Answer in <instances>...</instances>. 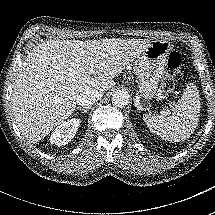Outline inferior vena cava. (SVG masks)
<instances>
[{"mask_svg":"<svg viewBox=\"0 0 215 215\" xmlns=\"http://www.w3.org/2000/svg\"><path fill=\"white\" fill-rule=\"evenodd\" d=\"M103 96V91L97 92H83L76 100L77 105L88 108L93 103L99 101Z\"/></svg>","mask_w":215,"mask_h":215,"instance_id":"602c4592","label":"inferior vena cava"}]
</instances>
